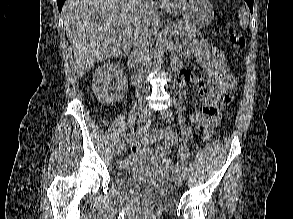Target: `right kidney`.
<instances>
[{
	"mask_svg": "<svg viewBox=\"0 0 293 219\" xmlns=\"http://www.w3.org/2000/svg\"><path fill=\"white\" fill-rule=\"evenodd\" d=\"M92 89L98 100L111 104L124 95L127 81L118 65L107 63L93 74Z\"/></svg>",
	"mask_w": 293,
	"mask_h": 219,
	"instance_id": "right-kidney-1",
	"label": "right kidney"
}]
</instances>
